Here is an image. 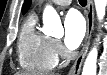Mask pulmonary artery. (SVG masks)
Returning <instances> with one entry per match:
<instances>
[{
    "mask_svg": "<svg viewBox=\"0 0 107 75\" xmlns=\"http://www.w3.org/2000/svg\"><path fill=\"white\" fill-rule=\"evenodd\" d=\"M51 3L61 6H67L71 3V0H53Z\"/></svg>",
    "mask_w": 107,
    "mask_h": 75,
    "instance_id": "e3ab8cb5",
    "label": "pulmonary artery"
}]
</instances>
